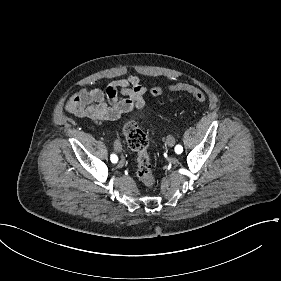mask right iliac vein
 Returning a JSON list of instances; mask_svg holds the SVG:
<instances>
[{"label":"right iliac vein","instance_id":"right-iliac-vein-1","mask_svg":"<svg viewBox=\"0 0 281 281\" xmlns=\"http://www.w3.org/2000/svg\"><path fill=\"white\" fill-rule=\"evenodd\" d=\"M114 147H115V150H116L117 152H121V150H122V145H121V143H120L118 140L115 141Z\"/></svg>","mask_w":281,"mask_h":281}]
</instances>
